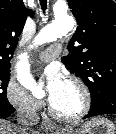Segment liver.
I'll list each match as a JSON object with an SVG mask.
<instances>
[{
    "label": "liver",
    "mask_w": 116,
    "mask_h": 134,
    "mask_svg": "<svg viewBox=\"0 0 116 134\" xmlns=\"http://www.w3.org/2000/svg\"><path fill=\"white\" fill-rule=\"evenodd\" d=\"M0 134H19V131L15 125L0 120Z\"/></svg>",
    "instance_id": "1"
}]
</instances>
